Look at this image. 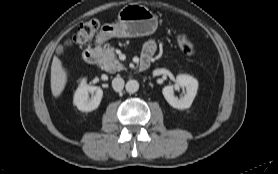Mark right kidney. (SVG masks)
<instances>
[{
    "label": "right kidney",
    "instance_id": "ca27d5eb",
    "mask_svg": "<svg viewBox=\"0 0 278 174\" xmlns=\"http://www.w3.org/2000/svg\"><path fill=\"white\" fill-rule=\"evenodd\" d=\"M89 94H91V97H89ZM102 96L103 91L100 87L89 86L83 79L74 94L73 103L80 111L90 112L99 106Z\"/></svg>",
    "mask_w": 278,
    "mask_h": 174
}]
</instances>
